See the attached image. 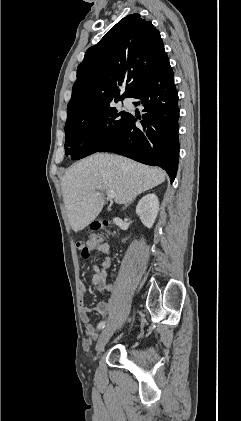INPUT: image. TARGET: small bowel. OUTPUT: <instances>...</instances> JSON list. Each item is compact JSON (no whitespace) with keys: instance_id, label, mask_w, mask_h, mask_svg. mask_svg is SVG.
Instances as JSON below:
<instances>
[{"instance_id":"1","label":"small bowel","mask_w":241,"mask_h":421,"mask_svg":"<svg viewBox=\"0 0 241 421\" xmlns=\"http://www.w3.org/2000/svg\"><path fill=\"white\" fill-rule=\"evenodd\" d=\"M96 248L99 251L103 252L106 255V258L103 260L100 266L93 265V286L100 292L112 294L114 292V286L106 282L107 271L110 268L112 262L110 257V247L108 244L102 243L97 245ZM78 292L80 300L82 301L86 293V285L83 282L79 283ZM109 308V301L107 300H102L98 302L94 309L82 306V321L84 323V330L91 340H94L98 334L96 332L95 327L90 323L89 314L93 311H96L101 316L105 317L109 313Z\"/></svg>"}]
</instances>
